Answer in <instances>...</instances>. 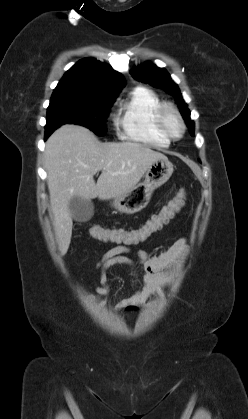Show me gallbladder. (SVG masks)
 Listing matches in <instances>:
<instances>
[{
    "instance_id": "bac80fb5",
    "label": "gallbladder",
    "mask_w": 248,
    "mask_h": 419,
    "mask_svg": "<svg viewBox=\"0 0 248 419\" xmlns=\"http://www.w3.org/2000/svg\"><path fill=\"white\" fill-rule=\"evenodd\" d=\"M68 208L72 218L78 222H86L94 214L93 203L90 200H85L78 196L70 199Z\"/></svg>"
}]
</instances>
